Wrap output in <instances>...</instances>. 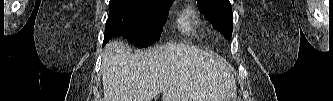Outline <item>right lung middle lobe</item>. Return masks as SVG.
<instances>
[{"label": "right lung middle lobe", "instance_id": "right-lung-middle-lobe-1", "mask_svg": "<svg viewBox=\"0 0 333 101\" xmlns=\"http://www.w3.org/2000/svg\"><path fill=\"white\" fill-rule=\"evenodd\" d=\"M174 0H110L104 43L122 36L141 47L159 40Z\"/></svg>", "mask_w": 333, "mask_h": 101}]
</instances>
